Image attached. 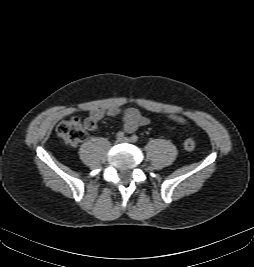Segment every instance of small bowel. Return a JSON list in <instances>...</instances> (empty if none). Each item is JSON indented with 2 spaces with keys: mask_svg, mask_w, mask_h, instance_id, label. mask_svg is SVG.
Returning <instances> with one entry per match:
<instances>
[{
  "mask_svg": "<svg viewBox=\"0 0 254 267\" xmlns=\"http://www.w3.org/2000/svg\"><path fill=\"white\" fill-rule=\"evenodd\" d=\"M121 116L123 121V129L130 134L137 130L138 127L148 124L149 120L139 110L131 107H105L94 108L89 112V118L94 120L96 124L104 117ZM95 129V128H94Z\"/></svg>",
  "mask_w": 254,
  "mask_h": 267,
  "instance_id": "c3829d8e",
  "label": "small bowel"
}]
</instances>
